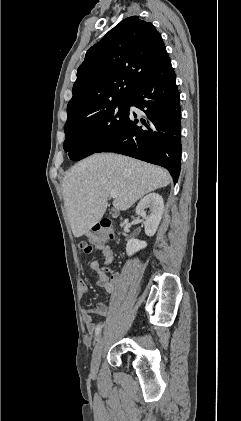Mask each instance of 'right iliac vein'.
Wrapping results in <instances>:
<instances>
[{
  "mask_svg": "<svg viewBox=\"0 0 241 421\" xmlns=\"http://www.w3.org/2000/svg\"><path fill=\"white\" fill-rule=\"evenodd\" d=\"M105 339L103 336L97 341L95 348L93 350L92 362H91V371L96 373L99 369L101 355L104 349Z\"/></svg>",
  "mask_w": 241,
  "mask_h": 421,
  "instance_id": "1",
  "label": "right iliac vein"
}]
</instances>
